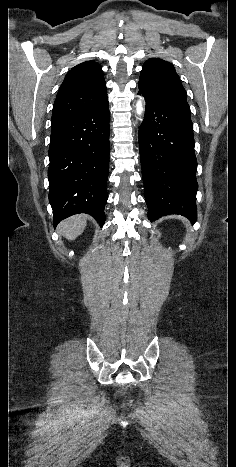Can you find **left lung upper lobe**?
Listing matches in <instances>:
<instances>
[{"label": "left lung upper lobe", "instance_id": "1", "mask_svg": "<svg viewBox=\"0 0 236 467\" xmlns=\"http://www.w3.org/2000/svg\"><path fill=\"white\" fill-rule=\"evenodd\" d=\"M139 90L153 100L187 103L186 91L175 68L171 63L159 58H150L144 63Z\"/></svg>", "mask_w": 236, "mask_h": 467}]
</instances>
